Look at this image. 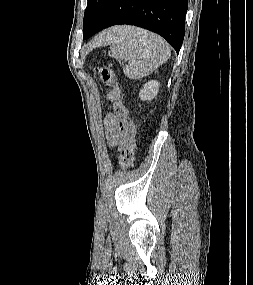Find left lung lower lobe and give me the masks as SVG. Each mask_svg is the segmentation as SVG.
I'll return each mask as SVG.
<instances>
[{
  "label": "left lung lower lobe",
  "instance_id": "0a47b994",
  "mask_svg": "<svg viewBox=\"0 0 253 285\" xmlns=\"http://www.w3.org/2000/svg\"><path fill=\"white\" fill-rule=\"evenodd\" d=\"M187 9V0H110L84 39L113 25L130 24L158 33L179 53Z\"/></svg>",
  "mask_w": 253,
  "mask_h": 285
}]
</instances>
